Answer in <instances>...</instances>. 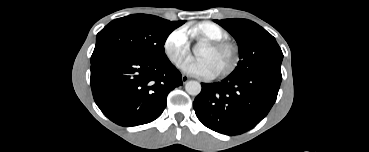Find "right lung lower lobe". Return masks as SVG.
<instances>
[{"mask_svg":"<svg viewBox=\"0 0 369 152\" xmlns=\"http://www.w3.org/2000/svg\"><path fill=\"white\" fill-rule=\"evenodd\" d=\"M91 89L103 114L130 127L157 119L168 93L182 85V76L168 60L111 55L91 62Z\"/></svg>","mask_w":369,"mask_h":152,"instance_id":"98d812e1","label":"right lung lower lobe"}]
</instances>
